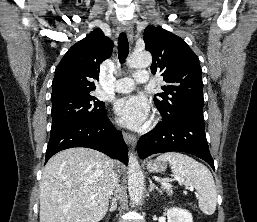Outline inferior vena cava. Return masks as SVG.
<instances>
[{"mask_svg":"<svg viewBox=\"0 0 257 222\" xmlns=\"http://www.w3.org/2000/svg\"><path fill=\"white\" fill-rule=\"evenodd\" d=\"M111 179H112V190H111V192H110V196L113 195L114 189H115L116 187H118V184H117L118 178H117L116 173H114L113 170L111 171ZM112 202H113V201H112Z\"/></svg>","mask_w":257,"mask_h":222,"instance_id":"1","label":"inferior vena cava"}]
</instances>
